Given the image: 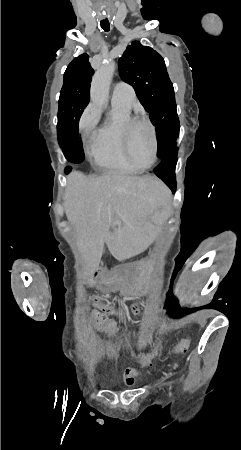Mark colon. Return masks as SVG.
<instances>
[{
    "mask_svg": "<svg viewBox=\"0 0 241 450\" xmlns=\"http://www.w3.org/2000/svg\"><path fill=\"white\" fill-rule=\"evenodd\" d=\"M80 323L83 326H88L90 324H94L95 327L100 328L101 333H103L107 336H111L112 341L117 342L118 347L122 348L124 352L127 353L130 351L131 348L128 345V339H127V337H125L124 333H122L119 330H116L115 326H113L109 323H105L104 318L101 317L100 314L87 313V314L81 316ZM159 341H161V340H159ZM179 344L181 346L178 347L177 349L175 348L173 351L175 353L177 352V354L183 355L186 353L187 350L182 345L186 346L188 343L186 341H184V342L181 341ZM154 351H151L150 353H148L147 351H144L142 353V356L144 358H147L148 356H150L151 358H154L156 356V353ZM168 355L172 356L173 352L169 351ZM132 357L134 359H139L141 357V352L139 350H134L132 352ZM143 363L144 364L141 365V368L145 369L146 368L145 364L148 363V360L144 359Z\"/></svg>",
    "mask_w": 241,
    "mask_h": 450,
    "instance_id": "colon-1",
    "label": "colon"
}]
</instances>
